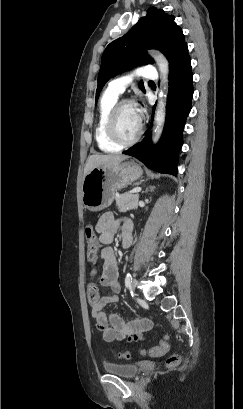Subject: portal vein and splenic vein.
Here are the masks:
<instances>
[{
	"instance_id": "1",
	"label": "portal vein and splenic vein",
	"mask_w": 243,
	"mask_h": 409,
	"mask_svg": "<svg viewBox=\"0 0 243 409\" xmlns=\"http://www.w3.org/2000/svg\"><path fill=\"white\" fill-rule=\"evenodd\" d=\"M141 191L140 187H137L131 191V193H139Z\"/></svg>"
}]
</instances>
